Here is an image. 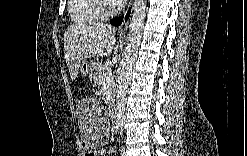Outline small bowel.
I'll return each mask as SVG.
<instances>
[{"label":"small bowel","mask_w":247,"mask_h":156,"mask_svg":"<svg viewBox=\"0 0 247 156\" xmlns=\"http://www.w3.org/2000/svg\"><path fill=\"white\" fill-rule=\"evenodd\" d=\"M86 154L88 156H93V155H96V152H94V151H86Z\"/></svg>","instance_id":"small-bowel-1"}]
</instances>
